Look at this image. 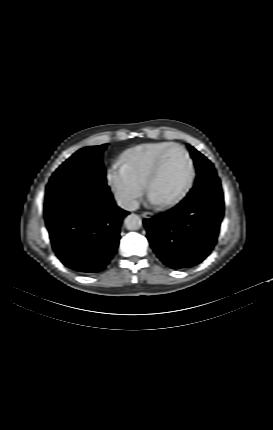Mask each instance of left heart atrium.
<instances>
[{"instance_id": "left-heart-atrium-1", "label": "left heart atrium", "mask_w": 273, "mask_h": 430, "mask_svg": "<svg viewBox=\"0 0 273 430\" xmlns=\"http://www.w3.org/2000/svg\"><path fill=\"white\" fill-rule=\"evenodd\" d=\"M150 201L153 203H158L153 197L150 196Z\"/></svg>"}]
</instances>
